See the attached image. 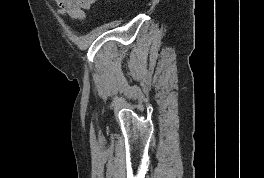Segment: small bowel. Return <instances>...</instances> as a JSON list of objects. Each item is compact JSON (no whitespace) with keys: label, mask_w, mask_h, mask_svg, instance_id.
Listing matches in <instances>:
<instances>
[{"label":"small bowel","mask_w":264,"mask_h":178,"mask_svg":"<svg viewBox=\"0 0 264 178\" xmlns=\"http://www.w3.org/2000/svg\"><path fill=\"white\" fill-rule=\"evenodd\" d=\"M58 11L72 19L83 20L85 11L90 9L95 0H54Z\"/></svg>","instance_id":"1"}]
</instances>
